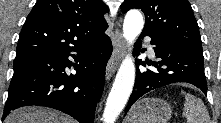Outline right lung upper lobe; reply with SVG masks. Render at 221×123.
Here are the masks:
<instances>
[{"label":"right lung upper lobe","mask_w":221,"mask_h":123,"mask_svg":"<svg viewBox=\"0 0 221 123\" xmlns=\"http://www.w3.org/2000/svg\"><path fill=\"white\" fill-rule=\"evenodd\" d=\"M101 0H38L19 35L16 57L63 52L104 35Z\"/></svg>","instance_id":"right-lung-upper-lobe-1"}]
</instances>
